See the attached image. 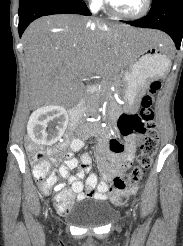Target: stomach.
Returning a JSON list of instances; mask_svg holds the SVG:
<instances>
[{"label":"stomach","mask_w":183,"mask_h":246,"mask_svg":"<svg viewBox=\"0 0 183 246\" xmlns=\"http://www.w3.org/2000/svg\"><path fill=\"white\" fill-rule=\"evenodd\" d=\"M145 61V62H139ZM170 59L156 44L147 42L133 43L130 61L125 65L123 81L128 108L136 110L140 98L145 93L151 79L163 76L169 69Z\"/></svg>","instance_id":"1"}]
</instances>
